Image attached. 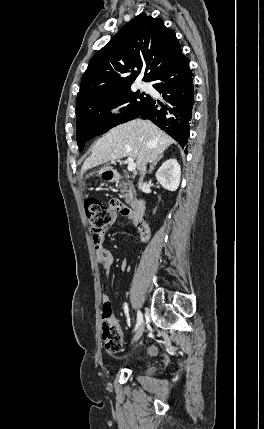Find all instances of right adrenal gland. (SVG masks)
<instances>
[{
    "instance_id": "1",
    "label": "right adrenal gland",
    "mask_w": 264,
    "mask_h": 429,
    "mask_svg": "<svg viewBox=\"0 0 264 429\" xmlns=\"http://www.w3.org/2000/svg\"><path fill=\"white\" fill-rule=\"evenodd\" d=\"M164 154H161L157 159H155L152 164L150 165L149 173H152L154 170V167L157 165V163L163 158Z\"/></svg>"
}]
</instances>
